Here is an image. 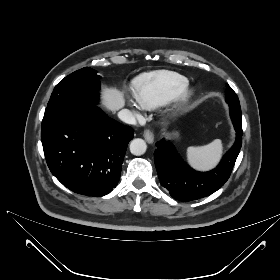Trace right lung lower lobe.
Wrapping results in <instances>:
<instances>
[{"label": "right lung lower lobe", "mask_w": 280, "mask_h": 280, "mask_svg": "<svg viewBox=\"0 0 280 280\" xmlns=\"http://www.w3.org/2000/svg\"><path fill=\"white\" fill-rule=\"evenodd\" d=\"M133 132L97 106L67 103L45 111L41 141L50 171L65 187L101 197L119 182Z\"/></svg>", "instance_id": "1"}]
</instances>
